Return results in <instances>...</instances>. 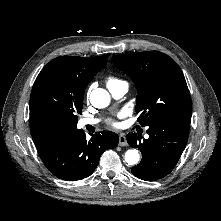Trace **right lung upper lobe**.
I'll return each mask as SVG.
<instances>
[{
	"label": "right lung upper lobe",
	"mask_w": 221,
	"mask_h": 221,
	"mask_svg": "<svg viewBox=\"0 0 221 221\" xmlns=\"http://www.w3.org/2000/svg\"><path fill=\"white\" fill-rule=\"evenodd\" d=\"M108 56L109 54L93 58L71 57L73 58V66L77 75L88 85L94 75L105 67ZM30 126L32 138L35 144L77 131V129H66L51 123L37 120H30Z\"/></svg>",
	"instance_id": "right-lung-upper-lobe-1"
}]
</instances>
